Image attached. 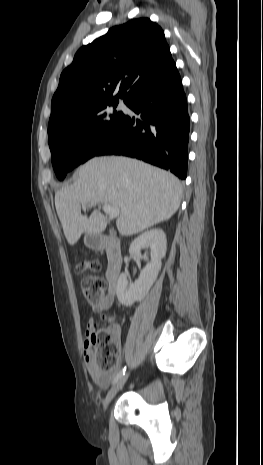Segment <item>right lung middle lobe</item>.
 <instances>
[{"label": "right lung middle lobe", "mask_w": 263, "mask_h": 465, "mask_svg": "<svg viewBox=\"0 0 263 465\" xmlns=\"http://www.w3.org/2000/svg\"><path fill=\"white\" fill-rule=\"evenodd\" d=\"M117 104L118 99L97 102L77 108L49 123V147L59 180L98 154L125 116L122 112L109 109V106L115 108Z\"/></svg>", "instance_id": "1"}]
</instances>
